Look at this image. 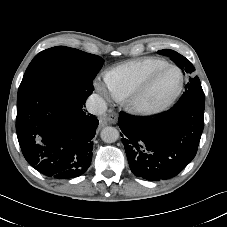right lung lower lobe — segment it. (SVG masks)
I'll list each match as a JSON object with an SVG mask.
<instances>
[{"label":"right lung lower lobe","instance_id":"obj_1","mask_svg":"<svg viewBox=\"0 0 227 227\" xmlns=\"http://www.w3.org/2000/svg\"><path fill=\"white\" fill-rule=\"evenodd\" d=\"M92 91L52 84L17 99L18 141L27 162L40 173L67 179L90 166L98 120L84 106Z\"/></svg>","mask_w":227,"mask_h":227}]
</instances>
